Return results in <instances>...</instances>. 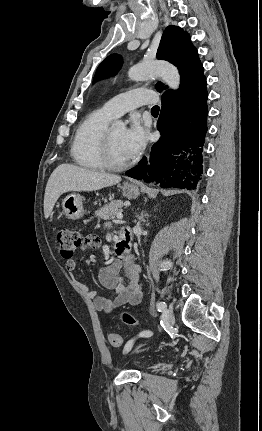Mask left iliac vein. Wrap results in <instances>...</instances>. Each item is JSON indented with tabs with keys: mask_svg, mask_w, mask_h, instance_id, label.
Instances as JSON below:
<instances>
[{
	"mask_svg": "<svg viewBox=\"0 0 262 431\" xmlns=\"http://www.w3.org/2000/svg\"><path fill=\"white\" fill-rule=\"evenodd\" d=\"M165 321L168 327H172L175 324V318L172 309H167L165 312Z\"/></svg>",
	"mask_w": 262,
	"mask_h": 431,
	"instance_id": "left-iliac-vein-1",
	"label": "left iliac vein"
}]
</instances>
